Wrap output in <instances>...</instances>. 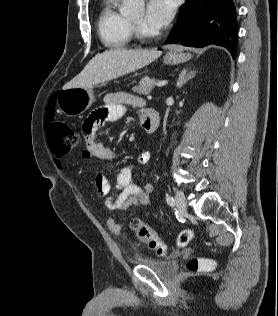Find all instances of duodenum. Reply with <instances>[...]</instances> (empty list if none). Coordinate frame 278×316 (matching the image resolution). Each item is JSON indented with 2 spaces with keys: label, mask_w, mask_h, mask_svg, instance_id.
Instances as JSON below:
<instances>
[{
  "label": "duodenum",
  "mask_w": 278,
  "mask_h": 316,
  "mask_svg": "<svg viewBox=\"0 0 278 316\" xmlns=\"http://www.w3.org/2000/svg\"><path fill=\"white\" fill-rule=\"evenodd\" d=\"M160 124V117L154 109H147L142 117V128L146 133H153Z\"/></svg>",
  "instance_id": "obj_1"
}]
</instances>
